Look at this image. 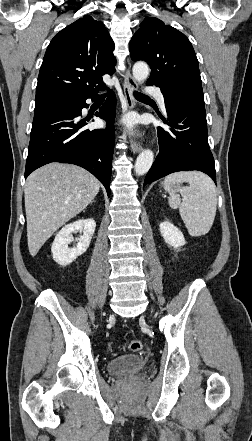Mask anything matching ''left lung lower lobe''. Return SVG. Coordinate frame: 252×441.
I'll list each match as a JSON object with an SVG mask.
<instances>
[{
	"label": "left lung lower lobe",
	"mask_w": 252,
	"mask_h": 441,
	"mask_svg": "<svg viewBox=\"0 0 252 441\" xmlns=\"http://www.w3.org/2000/svg\"><path fill=\"white\" fill-rule=\"evenodd\" d=\"M169 130L157 128L159 154L146 175L144 186L177 171L198 170L216 182L214 158L208 144L204 105L188 95L162 92Z\"/></svg>",
	"instance_id": "1"
}]
</instances>
